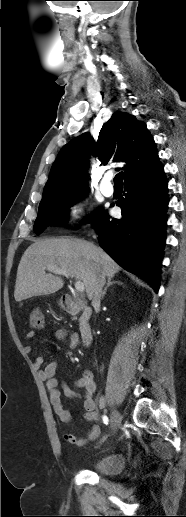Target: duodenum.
<instances>
[{
	"instance_id": "1",
	"label": "duodenum",
	"mask_w": 186,
	"mask_h": 517,
	"mask_svg": "<svg viewBox=\"0 0 186 517\" xmlns=\"http://www.w3.org/2000/svg\"><path fill=\"white\" fill-rule=\"evenodd\" d=\"M64 310L69 314H80L79 332L84 345H89L92 340V329L90 325V317L93 313L91 306L81 304L75 301L70 295L65 294L62 297Z\"/></svg>"
}]
</instances>
